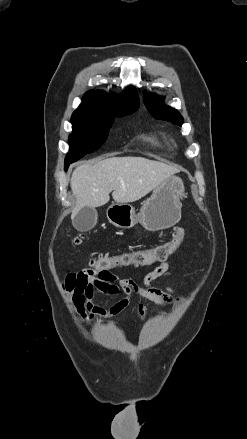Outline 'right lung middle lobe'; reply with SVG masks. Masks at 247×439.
<instances>
[{
  "mask_svg": "<svg viewBox=\"0 0 247 439\" xmlns=\"http://www.w3.org/2000/svg\"><path fill=\"white\" fill-rule=\"evenodd\" d=\"M137 109L115 115H72L73 133L69 136L70 152L65 158V170L84 155L97 150L106 140L113 123L112 117L132 114Z\"/></svg>",
  "mask_w": 247,
  "mask_h": 439,
  "instance_id": "right-lung-middle-lobe-1",
  "label": "right lung middle lobe"
}]
</instances>
